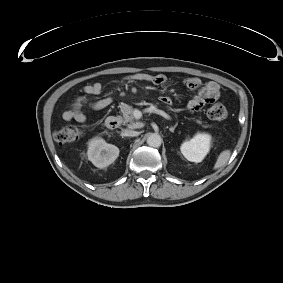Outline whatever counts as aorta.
<instances>
[{"instance_id":"762f6f07","label":"aorta","mask_w":283,"mask_h":283,"mask_svg":"<svg viewBox=\"0 0 283 283\" xmlns=\"http://www.w3.org/2000/svg\"><path fill=\"white\" fill-rule=\"evenodd\" d=\"M162 143V138L157 133H151L147 137V144L151 147H160Z\"/></svg>"}]
</instances>
